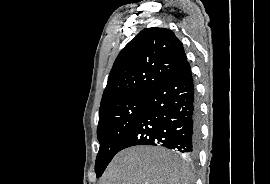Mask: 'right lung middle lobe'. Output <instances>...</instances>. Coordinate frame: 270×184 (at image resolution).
<instances>
[{
    "label": "right lung middle lobe",
    "mask_w": 270,
    "mask_h": 184,
    "mask_svg": "<svg viewBox=\"0 0 270 184\" xmlns=\"http://www.w3.org/2000/svg\"><path fill=\"white\" fill-rule=\"evenodd\" d=\"M146 100L147 96H130L100 108L97 128L100 148L95 163L97 177L119 152L120 144L141 114Z\"/></svg>",
    "instance_id": "1"
}]
</instances>
